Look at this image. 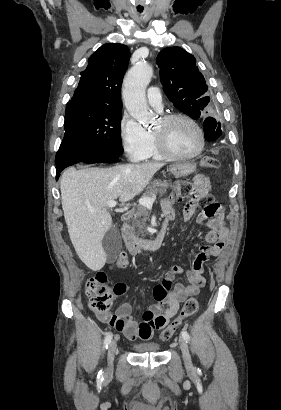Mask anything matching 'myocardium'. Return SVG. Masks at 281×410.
<instances>
[{
    "label": "myocardium",
    "instance_id": "f54148a6",
    "mask_svg": "<svg viewBox=\"0 0 281 410\" xmlns=\"http://www.w3.org/2000/svg\"><path fill=\"white\" fill-rule=\"evenodd\" d=\"M176 120H185L187 122H189L191 125L194 126V128L197 130L198 134H199V138H200V145L199 148L197 149V151H195L192 154L189 155H180V154H176L175 152H173L169 146L167 145L165 139L163 138V136L157 134V133H153L154 138H155V142L156 145L160 151V153L169 160H189V159H194L196 157H198L205 149V144H206V139H205V133L202 129V127L200 126V124L191 116L187 115V114H183V113H174V114H168L165 115L161 118V122L164 125H168L173 121Z\"/></svg>",
    "mask_w": 281,
    "mask_h": 410
}]
</instances>
